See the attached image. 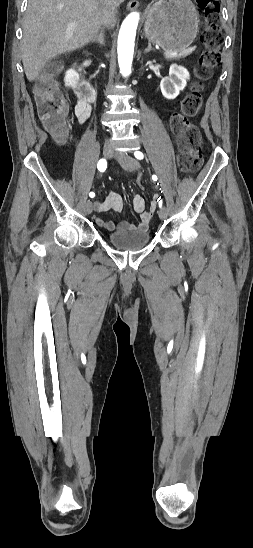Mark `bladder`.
I'll list each match as a JSON object with an SVG mask.
<instances>
[{"label":"bladder","mask_w":253,"mask_h":548,"mask_svg":"<svg viewBox=\"0 0 253 548\" xmlns=\"http://www.w3.org/2000/svg\"><path fill=\"white\" fill-rule=\"evenodd\" d=\"M109 243L122 251H136L144 248L150 242L147 231H116L108 235Z\"/></svg>","instance_id":"obj_1"}]
</instances>
